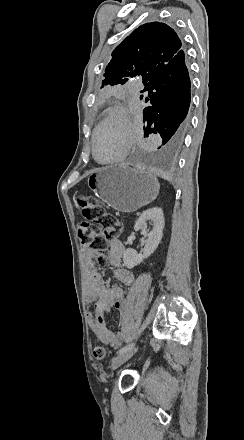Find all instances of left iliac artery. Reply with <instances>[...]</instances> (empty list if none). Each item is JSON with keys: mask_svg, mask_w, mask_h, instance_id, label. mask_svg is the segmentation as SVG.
Segmentation results:
<instances>
[{"mask_svg": "<svg viewBox=\"0 0 244 440\" xmlns=\"http://www.w3.org/2000/svg\"><path fill=\"white\" fill-rule=\"evenodd\" d=\"M133 346H134V343H130V344L124 346L123 348H121V349L117 352V354H120V353H123V352H125V351H127V350H130V349L133 348Z\"/></svg>", "mask_w": 244, "mask_h": 440, "instance_id": "1", "label": "left iliac artery"}]
</instances>
